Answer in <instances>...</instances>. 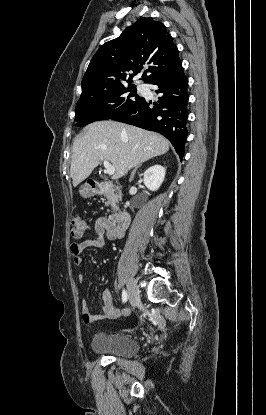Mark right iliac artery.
<instances>
[{
	"instance_id": "1",
	"label": "right iliac artery",
	"mask_w": 266,
	"mask_h": 415,
	"mask_svg": "<svg viewBox=\"0 0 266 415\" xmlns=\"http://www.w3.org/2000/svg\"><path fill=\"white\" fill-rule=\"evenodd\" d=\"M128 300V293L126 290L122 291V301L125 303Z\"/></svg>"
}]
</instances>
